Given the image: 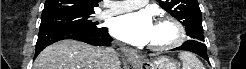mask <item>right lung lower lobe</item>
<instances>
[{
    "label": "right lung lower lobe",
    "instance_id": "right-lung-lower-lobe-1",
    "mask_svg": "<svg viewBox=\"0 0 246 69\" xmlns=\"http://www.w3.org/2000/svg\"><path fill=\"white\" fill-rule=\"evenodd\" d=\"M64 39H74L99 46H108L112 41V38H110L108 30L105 27L97 29L61 26L43 27L39 30L35 56L48 45Z\"/></svg>",
    "mask_w": 246,
    "mask_h": 69
}]
</instances>
